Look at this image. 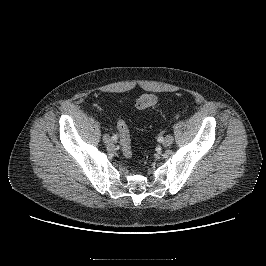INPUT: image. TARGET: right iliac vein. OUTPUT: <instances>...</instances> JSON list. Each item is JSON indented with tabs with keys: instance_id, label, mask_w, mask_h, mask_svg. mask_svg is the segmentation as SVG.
<instances>
[{
	"instance_id": "1",
	"label": "right iliac vein",
	"mask_w": 266,
	"mask_h": 266,
	"mask_svg": "<svg viewBox=\"0 0 266 266\" xmlns=\"http://www.w3.org/2000/svg\"><path fill=\"white\" fill-rule=\"evenodd\" d=\"M103 140H104L105 144H107V145L113 144V139H111V137L109 135H104Z\"/></svg>"
}]
</instances>
